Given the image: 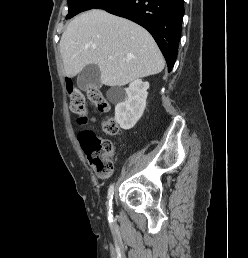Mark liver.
<instances>
[{
    "instance_id": "obj_1",
    "label": "liver",
    "mask_w": 248,
    "mask_h": 258,
    "mask_svg": "<svg viewBox=\"0 0 248 258\" xmlns=\"http://www.w3.org/2000/svg\"><path fill=\"white\" fill-rule=\"evenodd\" d=\"M59 48L68 77L96 64L101 83L112 87L158 74L164 68L163 55L148 31L99 9L75 17L62 34Z\"/></svg>"
}]
</instances>
